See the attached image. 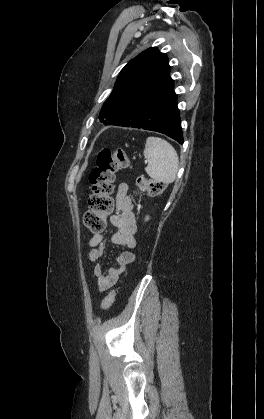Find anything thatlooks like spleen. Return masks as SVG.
<instances>
[{"label": "spleen", "instance_id": "spleen-1", "mask_svg": "<svg viewBox=\"0 0 264 419\" xmlns=\"http://www.w3.org/2000/svg\"><path fill=\"white\" fill-rule=\"evenodd\" d=\"M144 156L148 159L146 173L157 182L172 183L177 175L179 158L174 147L160 137L147 138Z\"/></svg>", "mask_w": 264, "mask_h": 419}]
</instances>
